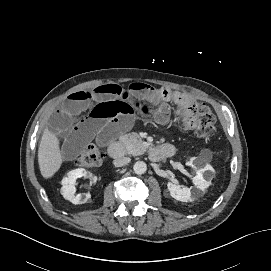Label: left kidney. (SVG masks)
<instances>
[{"label": "left kidney", "instance_id": "left-kidney-1", "mask_svg": "<svg viewBox=\"0 0 271 271\" xmlns=\"http://www.w3.org/2000/svg\"><path fill=\"white\" fill-rule=\"evenodd\" d=\"M193 158L188 163L190 166H193ZM213 168L210 165H206L204 168L198 169L197 174L192 178V181L196 188L200 190H205L211 184V179L213 177ZM204 175L208 178L206 179ZM168 190L171 197L182 202H188L192 200L190 187L181 188L179 185L168 183Z\"/></svg>", "mask_w": 271, "mask_h": 271}]
</instances>
